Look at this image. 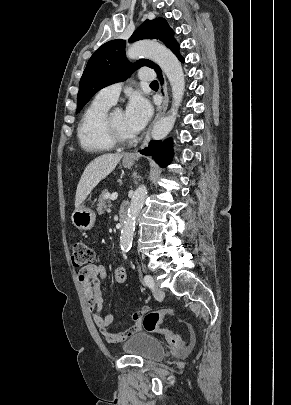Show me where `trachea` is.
<instances>
[{
    "instance_id": "obj_1",
    "label": "trachea",
    "mask_w": 291,
    "mask_h": 405,
    "mask_svg": "<svg viewBox=\"0 0 291 405\" xmlns=\"http://www.w3.org/2000/svg\"><path fill=\"white\" fill-rule=\"evenodd\" d=\"M150 85H151V86H158V82H157V81H153V82H151Z\"/></svg>"
}]
</instances>
